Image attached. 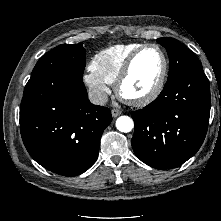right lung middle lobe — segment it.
I'll use <instances>...</instances> for the list:
<instances>
[{
  "mask_svg": "<svg viewBox=\"0 0 221 221\" xmlns=\"http://www.w3.org/2000/svg\"><path fill=\"white\" fill-rule=\"evenodd\" d=\"M84 68L85 49L82 43L62 44L39 59L30 79L62 81L75 78L83 81Z\"/></svg>",
  "mask_w": 221,
  "mask_h": 221,
  "instance_id": "dd1d6c3e",
  "label": "right lung middle lobe"
}]
</instances>
